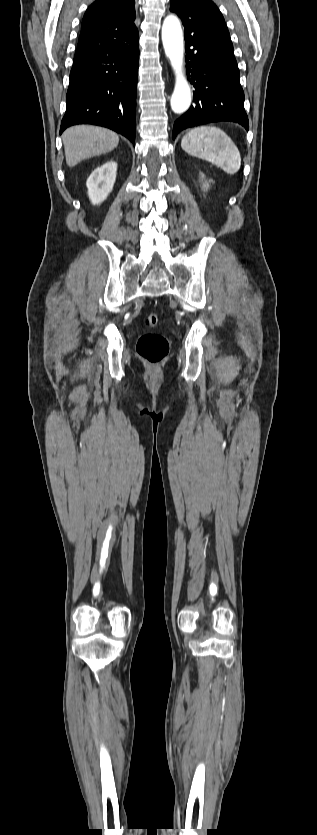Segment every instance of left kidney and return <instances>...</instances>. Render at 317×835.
<instances>
[{"mask_svg":"<svg viewBox=\"0 0 317 835\" xmlns=\"http://www.w3.org/2000/svg\"><path fill=\"white\" fill-rule=\"evenodd\" d=\"M201 177L204 178V174H201ZM208 187H209L208 183L203 184V189L204 190H207Z\"/></svg>","mask_w":317,"mask_h":835,"instance_id":"5707ae66","label":"left kidney"}]
</instances>
